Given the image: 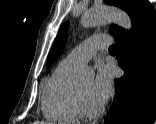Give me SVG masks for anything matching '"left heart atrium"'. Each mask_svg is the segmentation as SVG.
Returning <instances> with one entry per match:
<instances>
[{
	"instance_id": "39dd6f15",
	"label": "left heart atrium",
	"mask_w": 156,
	"mask_h": 124,
	"mask_svg": "<svg viewBox=\"0 0 156 124\" xmlns=\"http://www.w3.org/2000/svg\"><path fill=\"white\" fill-rule=\"evenodd\" d=\"M112 72L105 65H100L97 74L92 81V94L100 105L104 104L112 92Z\"/></svg>"
}]
</instances>
